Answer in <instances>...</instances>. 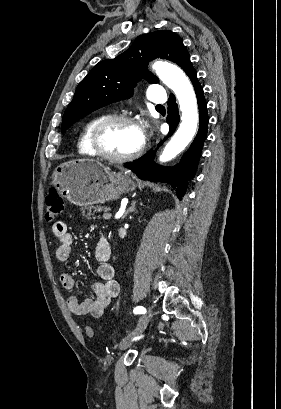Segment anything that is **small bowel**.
I'll list each match as a JSON object with an SVG mask.
<instances>
[{
	"instance_id": "1",
	"label": "small bowel",
	"mask_w": 281,
	"mask_h": 409,
	"mask_svg": "<svg viewBox=\"0 0 281 409\" xmlns=\"http://www.w3.org/2000/svg\"><path fill=\"white\" fill-rule=\"evenodd\" d=\"M52 233L55 237L57 248L56 258L60 263H66L71 254V246L75 242L74 235L68 229L65 220H57L52 225ZM111 257V246L105 236H101L94 248V259L97 262L95 273L99 278L93 284L95 297L93 299H81L78 293H73L67 299V306L71 313L75 315H91L100 318L104 315L112 299L120 292L119 282L115 279V269L108 263ZM61 286L73 291L75 288L74 276L69 272L60 275ZM88 328V327H87ZM86 328V330H87Z\"/></svg>"
}]
</instances>
